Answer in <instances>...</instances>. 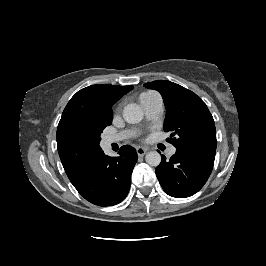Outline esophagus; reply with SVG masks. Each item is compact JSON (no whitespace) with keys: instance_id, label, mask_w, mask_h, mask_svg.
I'll use <instances>...</instances> for the list:
<instances>
[{"instance_id":"obj_1","label":"esophagus","mask_w":266,"mask_h":266,"mask_svg":"<svg viewBox=\"0 0 266 266\" xmlns=\"http://www.w3.org/2000/svg\"><path fill=\"white\" fill-rule=\"evenodd\" d=\"M147 151H148V149L144 148V147H137L136 148L137 155L140 157L144 156Z\"/></svg>"}]
</instances>
